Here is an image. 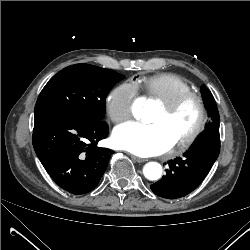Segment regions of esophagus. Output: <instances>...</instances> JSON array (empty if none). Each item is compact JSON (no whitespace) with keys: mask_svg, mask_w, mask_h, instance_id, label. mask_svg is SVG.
Wrapping results in <instances>:
<instances>
[{"mask_svg":"<svg viewBox=\"0 0 250 250\" xmlns=\"http://www.w3.org/2000/svg\"><path fill=\"white\" fill-rule=\"evenodd\" d=\"M131 158L133 161L138 162V163H143V162L147 161L146 159L137 157L135 155H132Z\"/></svg>","mask_w":250,"mask_h":250,"instance_id":"obj_1","label":"esophagus"}]
</instances>
